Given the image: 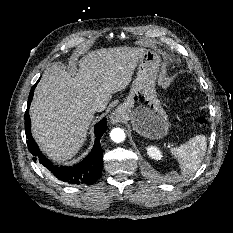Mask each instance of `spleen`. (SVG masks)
I'll return each instance as SVG.
<instances>
[{"mask_svg":"<svg viewBox=\"0 0 233 233\" xmlns=\"http://www.w3.org/2000/svg\"><path fill=\"white\" fill-rule=\"evenodd\" d=\"M206 149V138L203 135H197L178 147L170 148V153L177 160L183 177H188L198 170Z\"/></svg>","mask_w":233,"mask_h":233,"instance_id":"spleen-1","label":"spleen"}]
</instances>
